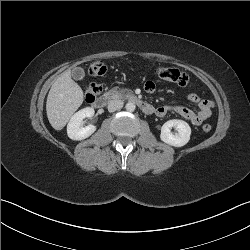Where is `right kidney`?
I'll use <instances>...</instances> for the list:
<instances>
[{
  "instance_id": "ca27d5eb",
  "label": "right kidney",
  "mask_w": 250,
  "mask_h": 250,
  "mask_svg": "<svg viewBox=\"0 0 250 250\" xmlns=\"http://www.w3.org/2000/svg\"><path fill=\"white\" fill-rule=\"evenodd\" d=\"M94 112L95 111L92 107H86L79 110L71 117L67 125V134L70 139L83 140L91 136L96 131V126L94 125L82 127L83 119L92 117Z\"/></svg>"
}]
</instances>
